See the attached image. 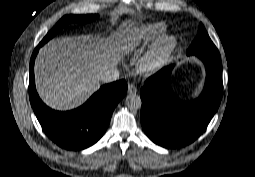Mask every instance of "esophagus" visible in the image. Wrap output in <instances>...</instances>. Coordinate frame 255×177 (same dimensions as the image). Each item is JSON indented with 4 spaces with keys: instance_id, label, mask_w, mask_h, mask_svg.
Here are the masks:
<instances>
[{
    "instance_id": "esophagus-1",
    "label": "esophagus",
    "mask_w": 255,
    "mask_h": 177,
    "mask_svg": "<svg viewBox=\"0 0 255 177\" xmlns=\"http://www.w3.org/2000/svg\"><path fill=\"white\" fill-rule=\"evenodd\" d=\"M136 92H137V87L135 85H133V84H130L128 86V93L130 95H134V94H136Z\"/></svg>"
}]
</instances>
